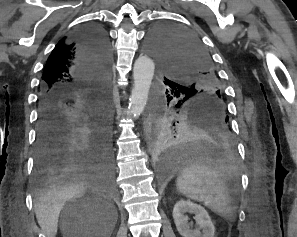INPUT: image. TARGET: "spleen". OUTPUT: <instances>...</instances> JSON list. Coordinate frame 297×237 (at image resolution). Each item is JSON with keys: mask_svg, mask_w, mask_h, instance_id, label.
<instances>
[{"mask_svg": "<svg viewBox=\"0 0 297 237\" xmlns=\"http://www.w3.org/2000/svg\"><path fill=\"white\" fill-rule=\"evenodd\" d=\"M176 186L187 198L202 202L226 220L233 219L230 191L220 166L208 167L202 161L191 163L178 176Z\"/></svg>", "mask_w": 297, "mask_h": 237, "instance_id": "3e777b00", "label": "spleen"}]
</instances>
